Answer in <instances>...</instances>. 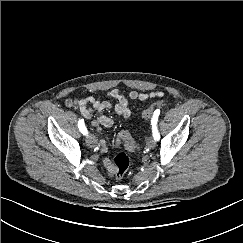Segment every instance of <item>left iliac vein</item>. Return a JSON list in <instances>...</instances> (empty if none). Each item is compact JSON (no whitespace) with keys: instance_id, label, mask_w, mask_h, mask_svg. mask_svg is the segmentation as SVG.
<instances>
[{"instance_id":"1","label":"left iliac vein","mask_w":243,"mask_h":243,"mask_svg":"<svg viewBox=\"0 0 243 243\" xmlns=\"http://www.w3.org/2000/svg\"><path fill=\"white\" fill-rule=\"evenodd\" d=\"M147 146L149 148H154L156 146V140L153 137L147 139Z\"/></svg>"}]
</instances>
